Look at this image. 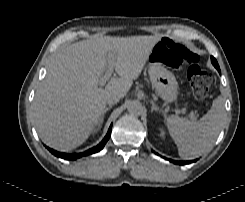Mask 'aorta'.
<instances>
[{"instance_id":"762f6f07","label":"aorta","mask_w":245,"mask_h":202,"mask_svg":"<svg viewBox=\"0 0 245 202\" xmlns=\"http://www.w3.org/2000/svg\"><path fill=\"white\" fill-rule=\"evenodd\" d=\"M127 109L131 115H135V116H139L143 112V106L137 100L129 102Z\"/></svg>"}]
</instances>
